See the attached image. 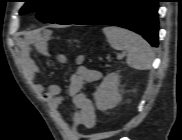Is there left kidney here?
Segmentation results:
<instances>
[{
    "mask_svg": "<svg viewBox=\"0 0 182 140\" xmlns=\"http://www.w3.org/2000/svg\"><path fill=\"white\" fill-rule=\"evenodd\" d=\"M120 76L118 73L108 74L94 93L96 107L107 110L116 107L122 100L119 92Z\"/></svg>",
    "mask_w": 182,
    "mask_h": 140,
    "instance_id": "1",
    "label": "left kidney"
}]
</instances>
